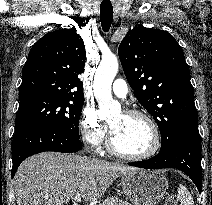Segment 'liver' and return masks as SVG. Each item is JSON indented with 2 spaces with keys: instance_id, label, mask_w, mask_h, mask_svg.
Returning a JSON list of instances; mask_svg holds the SVG:
<instances>
[{
  "instance_id": "6515ba94",
  "label": "liver",
  "mask_w": 212,
  "mask_h": 205,
  "mask_svg": "<svg viewBox=\"0 0 212 205\" xmlns=\"http://www.w3.org/2000/svg\"><path fill=\"white\" fill-rule=\"evenodd\" d=\"M136 169L86 156L42 152L23 161L15 174L17 204L68 205L77 194L92 203L116 178Z\"/></svg>"
}]
</instances>
